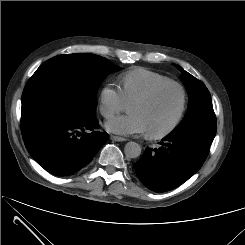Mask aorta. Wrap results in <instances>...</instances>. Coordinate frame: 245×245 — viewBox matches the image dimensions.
I'll use <instances>...</instances> for the list:
<instances>
[{
	"label": "aorta",
	"instance_id": "obj_1",
	"mask_svg": "<svg viewBox=\"0 0 245 245\" xmlns=\"http://www.w3.org/2000/svg\"><path fill=\"white\" fill-rule=\"evenodd\" d=\"M124 154L128 158H137L141 154V147L138 143L130 141L124 147Z\"/></svg>",
	"mask_w": 245,
	"mask_h": 245
}]
</instances>
